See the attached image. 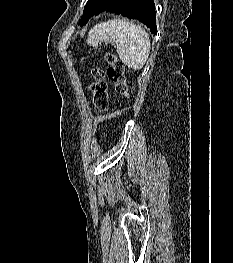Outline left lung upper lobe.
<instances>
[{"instance_id": "5c2ea615", "label": "left lung upper lobe", "mask_w": 233, "mask_h": 263, "mask_svg": "<svg viewBox=\"0 0 233 263\" xmlns=\"http://www.w3.org/2000/svg\"><path fill=\"white\" fill-rule=\"evenodd\" d=\"M116 0H88L80 22L83 26L93 16L105 11Z\"/></svg>"}]
</instances>
